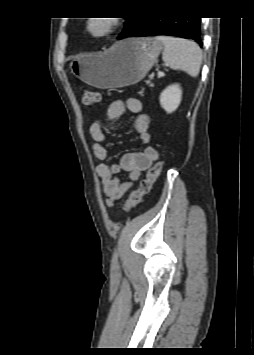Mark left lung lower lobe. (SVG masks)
<instances>
[{
    "label": "left lung lower lobe",
    "mask_w": 254,
    "mask_h": 355,
    "mask_svg": "<svg viewBox=\"0 0 254 355\" xmlns=\"http://www.w3.org/2000/svg\"><path fill=\"white\" fill-rule=\"evenodd\" d=\"M154 35L179 36L194 40L201 46L200 17H140L135 25L118 39Z\"/></svg>",
    "instance_id": "obj_1"
}]
</instances>
